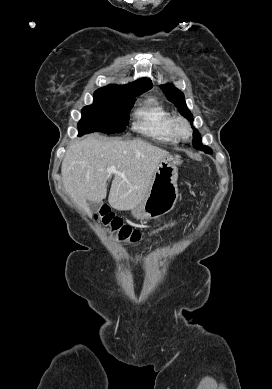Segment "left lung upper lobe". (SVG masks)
I'll return each instance as SVG.
<instances>
[{
	"label": "left lung upper lobe",
	"instance_id": "1",
	"mask_svg": "<svg viewBox=\"0 0 272 389\" xmlns=\"http://www.w3.org/2000/svg\"><path fill=\"white\" fill-rule=\"evenodd\" d=\"M161 89L166 94L168 100L175 104V106L178 108L181 115L184 116L186 119H188L192 125L193 115L191 114V112L186 106L184 94L180 90H178L173 84L162 85ZM193 130H194L193 132L194 148L197 150L204 151L205 153L211 154L212 153L211 148L201 143V136L197 131V129L193 127Z\"/></svg>",
	"mask_w": 272,
	"mask_h": 389
}]
</instances>
